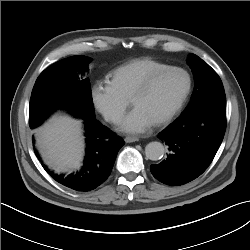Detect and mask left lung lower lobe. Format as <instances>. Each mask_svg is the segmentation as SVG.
<instances>
[{"label": "left lung lower lobe", "instance_id": "0a47b994", "mask_svg": "<svg viewBox=\"0 0 250 250\" xmlns=\"http://www.w3.org/2000/svg\"><path fill=\"white\" fill-rule=\"evenodd\" d=\"M226 129L225 94L215 96L182 115L158 134L168 146L167 158L151 165L160 182L178 186L200 176L212 162Z\"/></svg>", "mask_w": 250, "mask_h": 250}]
</instances>
